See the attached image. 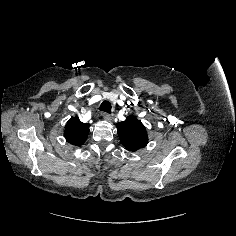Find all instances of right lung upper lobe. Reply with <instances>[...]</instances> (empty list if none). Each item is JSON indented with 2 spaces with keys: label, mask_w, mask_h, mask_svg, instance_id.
<instances>
[{
  "label": "right lung upper lobe",
  "mask_w": 236,
  "mask_h": 236,
  "mask_svg": "<svg viewBox=\"0 0 236 236\" xmlns=\"http://www.w3.org/2000/svg\"><path fill=\"white\" fill-rule=\"evenodd\" d=\"M89 124L82 123L78 117H72L65 126L64 136L72 145L84 144L89 133Z\"/></svg>",
  "instance_id": "cb5924a9"
}]
</instances>
